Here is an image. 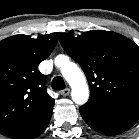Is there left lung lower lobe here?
I'll return each mask as SVG.
<instances>
[{"instance_id": "obj_1", "label": "left lung lower lobe", "mask_w": 139, "mask_h": 139, "mask_svg": "<svg viewBox=\"0 0 139 139\" xmlns=\"http://www.w3.org/2000/svg\"><path fill=\"white\" fill-rule=\"evenodd\" d=\"M79 111L92 129L108 135L126 131L139 119V103L118 108H96L85 104Z\"/></svg>"}]
</instances>
